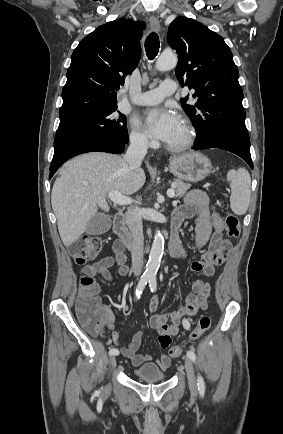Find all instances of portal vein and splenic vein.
I'll list each match as a JSON object with an SVG mask.
<instances>
[{
  "label": "portal vein and splenic vein",
  "mask_w": 283,
  "mask_h": 434,
  "mask_svg": "<svg viewBox=\"0 0 283 434\" xmlns=\"http://www.w3.org/2000/svg\"><path fill=\"white\" fill-rule=\"evenodd\" d=\"M167 195L170 198H173L175 196V191L173 189L167 190ZM108 197L111 199V201L117 205H129L133 202V200L130 197L122 195L118 191H111L108 193Z\"/></svg>",
  "instance_id": "1"
}]
</instances>
